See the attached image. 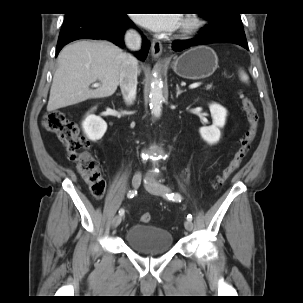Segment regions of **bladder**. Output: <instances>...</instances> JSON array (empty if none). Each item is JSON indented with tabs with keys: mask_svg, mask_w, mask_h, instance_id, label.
Wrapping results in <instances>:
<instances>
[{
	"mask_svg": "<svg viewBox=\"0 0 303 303\" xmlns=\"http://www.w3.org/2000/svg\"><path fill=\"white\" fill-rule=\"evenodd\" d=\"M124 241L128 247L142 254L159 255L172 247L173 236L162 228L134 224L125 232Z\"/></svg>",
	"mask_w": 303,
	"mask_h": 303,
	"instance_id": "bladder-1",
	"label": "bladder"
}]
</instances>
